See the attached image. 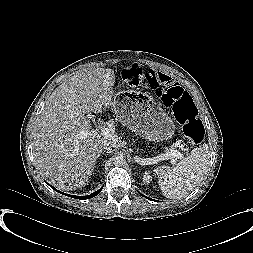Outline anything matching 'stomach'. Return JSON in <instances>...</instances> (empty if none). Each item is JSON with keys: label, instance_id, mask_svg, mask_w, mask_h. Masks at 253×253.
<instances>
[{"label": "stomach", "instance_id": "0dacf381", "mask_svg": "<svg viewBox=\"0 0 253 253\" xmlns=\"http://www.w3.org/2000/svg\"><path fill=\"white\" fill-rule=\"evenodd\" d=\"M112 107L124 126L149 141L167 140L174 134L172 119L153 98L145 94L118 92L113 97Z\"/></svg>", "mask_w": 253, "mask_h": 253}]
</instances>
